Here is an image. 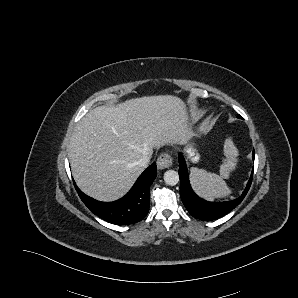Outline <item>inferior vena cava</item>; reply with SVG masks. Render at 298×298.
Returning a JSON list of instances; mask_svg holds the SVG:
<instances>
[{
	"label": "inferior vena cava",
	"instance_id": "inferior-vena-cava-1",
	"mask_svg": "<svg viewBox=\"0 0 298 298\" xmlns=\"http://www.w3.org/2000/svg\"><path fill=\"white\" fill-rule=\"evenodd\" d=\"M150 159L151 157L147 153H145L143 157L138 161V165L145 169L149 166Z\"/></svg>",
	"mask_w": 298,
	"mask_h": 298
}]
</instances>
